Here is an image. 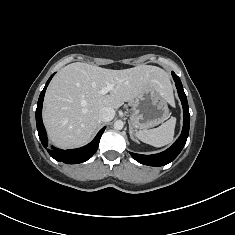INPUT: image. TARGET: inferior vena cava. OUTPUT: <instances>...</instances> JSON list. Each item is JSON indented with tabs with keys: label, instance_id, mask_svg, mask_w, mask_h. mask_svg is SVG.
<instances>
[{
	"label": "inferior vena cava",
	"instance_id": "602c4592",
	"mask_svg": "<svg viewBox=\"0 0 235 235\" xmlns=\"http://www.w3.org/2000/svg\"><path fill=\"white\" fill-rule=\"evenodd\" d=\"M115 116V110L111 107H102L99 110V120L102 122L111 121Z\"/></svg>",
	"mask_w": 235,
	"mask_h": 235
}]
</instances>
